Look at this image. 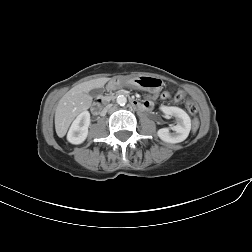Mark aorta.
<instances>
[{"label": "aorta", "instance_id": "aorta-1", "mask_svg": "<svg viewBox=\"0 0 252 252\" xmlns=\"http://www.w3.org/2000/svg\"><path fill=\"white\" fill-rule=\"evenodd\" d=\"M117 104L124 106L127 103V98L124 95H119L116 99Z\"/></svg>", "mask_w": 252, "mask_h": 252}]
</instances>
